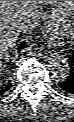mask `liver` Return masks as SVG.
I'll use <instances>...</instances> for the list:
<instances>
[{
  "label": "liver",
  "mask_w": 74,
  "mask_h": 122,
  "mask_svg": "<svg viewBox=\"0 0 74 122\" xmlns=\"http://www.w3.org/2000/svg\"><path fill=\"white\" fill-rule=\"evenodd\" d=\"M55 1H0V60H8L9 53L21 33L30 34L45 15L43 5ZM25 29L20 31L19 26Z\"/></svg>",
  "instance_id": "liver-1"
}]
</instances>
